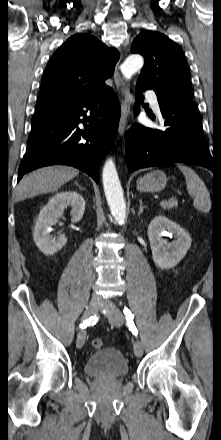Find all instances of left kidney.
<instances>
[{
  "label": "left kidney",
  "instance_id": "left-kidney-1",
  "mask_svg": "<svg viewBox=\"0 0 221 440\" xmlns=\"http://www.w3.org/2000/svg\"><path fill=\"white\" fill-rule=\"evenodd\" d=\"M148 237L152 250L153 261L161 269L176 266L191 247L192 239L189 233L174 221L163 215H158L148 226ZM171 234L175 240L168 242L162 236Z\"/></svg>",
  "mask_w": 221,
  "mask_h": 440
}]
</instances>
